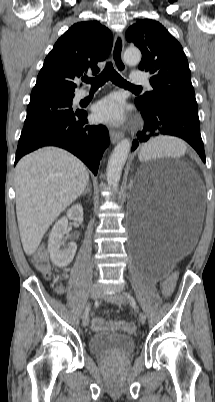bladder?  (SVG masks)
Listing matches in <instances>:
<instances>
[{"label":"bladder","instance_id":"31cf9c89","mask_svg":"<svg viewBox=\"0 0 215 402\" xmlns=\"http://www.w3.org/2000/svg\"><path fill=\"white\" fill-rule=\"evenodd\" d=\"M89 349L98 356L123 358L133 353L135 342L129 335L102 331L90 337Z\"/></svg>","mask_w":215,"mask_h":402}]
</instances>
